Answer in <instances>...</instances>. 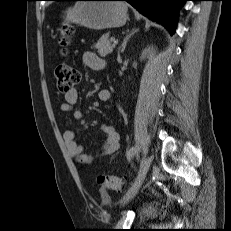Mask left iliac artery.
Segmentation results:
<instances>
[{"instance_id": "obj_1", "label": "left iliac artery", "mask_w": 231, "mask_h": 231, "mask_svg": "<svg viewBox=\"0 0 231 231\" xmlns=\"http://www.w3.org/2000/svg\"><path fill=\"white\" fill-rule=\"evenodd\" d=\"M138 151L139 149L137 146L131 147L127 153V158L130 160L134 155L138 154Z\"/></svg>"}]
</instances>
